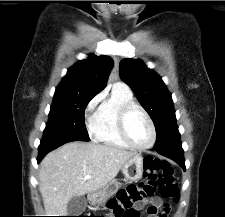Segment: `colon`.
I'll use <instances>...</instances> for the list:
<instances>
[{"mask_svg":"<svg viewBox=\"0 0 225 217\" xmlns=\"http://www.w3.org/2000/svg\"><path fill=\"white\" fill-rule=\"evenodd\" d=\"M144 182L140 186L130 185L118 193L117 199L110 203L115 217H139L138 210L133 203L146 196L154 194L159 189L165 199L177 201L179 187L174 169L166 162L153 156H146L143 160ZM169 211L168 204L161 207L150 206L149 215L165 217Z\"/></svg>","mask_w":225,"mask_h":217,"instance_id":"1","label":"colon"}]
</instances>
